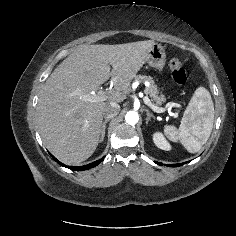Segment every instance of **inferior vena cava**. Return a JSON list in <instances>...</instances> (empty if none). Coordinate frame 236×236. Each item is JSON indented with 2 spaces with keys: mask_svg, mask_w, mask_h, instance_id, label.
<instances>
[{
  "mask_svg": "<svg viewBox=\"0 0 236 236\" xmlns=\"http://www.w3.org/2000/svg\"><path fill=\"white\" fill-rule=\"evenodd\" d=\"M119 111H120V106L115 102H111L104 107L103 116L106 119H111L115 117L119 113Z\"/></svg>",
  "mask_w": 236,
  "mask_h": 236,
  "instance_id": "obj_1",
  "label": "inferior vena cava"
}]
</instances>
